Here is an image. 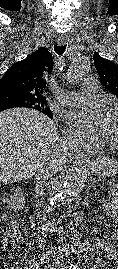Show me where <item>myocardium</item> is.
I'll list each match as a JSON object with an SVG mask.
<instances>
[{
	"label": "myocardium",
	"instance_id": "1",
	"mask_svg": "<svg viewBox=\"0 0 118 269\" xmlns=\"http://www.w3.org/2000/svg\"><path fill=\"white\" fill-rule=\"evenodd\" d=\"M115 112H118V104L113 105L109 110V113H115ZM101 145H107L111 149L118 152V143H115V142H112V141H109V140H101V141H98V145H97L96 148H98Z\"/></svg>",
	"mask_w": 118,
	"mask_h": 269
}]
</instances>
